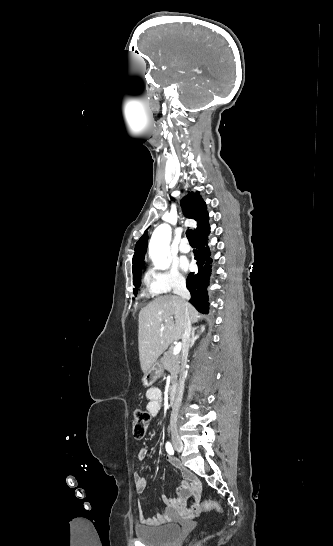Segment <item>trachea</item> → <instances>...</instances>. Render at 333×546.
<instances>
[{
  "instance_id": "trachea-1",
  "label": "trachea",
  "mask_w": 333,
  "mask_h": 546,
  "mask_svg": "<svg viewBox=\"0 0 333 546\" xmlns=\"http://www.w3.org/2000/svg\"><path fill=\"white\" fill-rule=\"evenodd\" d=\"M186 236H187V239L189 240V243L191 245H194L195 244V240H194V236H193V231L191 229H187L186 231Z\"/></svg>"
}]
</instances>
